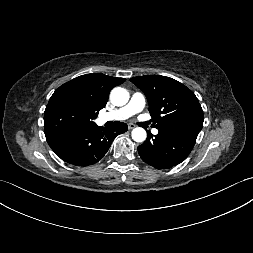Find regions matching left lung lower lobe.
Returning a JSON list of instances; mask_svg holds the SVG:
<instances>
[{"mask_svg":"<svg viewBox=\"0 0 253 253\" xmlns=\"http://www.w3.org/2000/svg\"><path fill=\"white\" fill-rule=\"evenodd\" d=\"M197 136L159 130L148 132L146 141L138 146L141 159L157 169H168L184 161L193 149Z\"/></svg>","mask_w":253,"mask_h":253,"instance_id":"1","label":"left lung lower lobe"}]
</instances>
